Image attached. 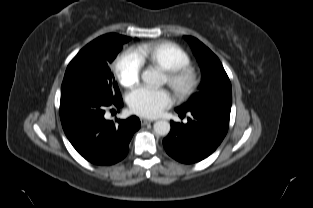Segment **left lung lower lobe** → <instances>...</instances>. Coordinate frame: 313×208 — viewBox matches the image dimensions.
I'll return each mask as SVG.
<instances>
[{"label":"left lung lower lobe","mask_w":313,"mask_h":208,"mask_svg":"<svg viewBox=\"0 0 313 208\" xmlns=\"http://www.w3.org/2000/svg\"><path fill=\"white\" fill-rule=\"evenodd\" d=\"M180 116L191 114L186 124L171 121V131L163 140L166 152L177 161L191 164L212 154L224 139L231 108L200 106L190 110L175 109Z\"/></svg>","instance_id":"obj_1"}]
</instances>
